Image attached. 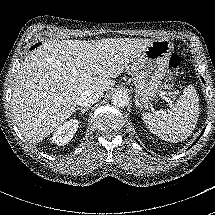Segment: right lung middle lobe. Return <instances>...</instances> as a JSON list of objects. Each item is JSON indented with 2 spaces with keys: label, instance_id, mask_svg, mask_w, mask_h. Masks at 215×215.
<instances>
[{
  "label": "right lung middle lobe",
  "instance_id": "right-lung-middle-lobe-1",
  "mask_svg": "<svg viewBox=\"0 0 215 215\" xmlns=\"http://www.w3.org/2000/svg\"><path fill=\"white\" fill-rule=\"evenodd\" d=\"M38 45H39V44H36L34 47H37ZM34 47H33V48H34Z\"/></svg>",
  "mask_w": 215,
  "mask_h": 215
}]
</instances>
